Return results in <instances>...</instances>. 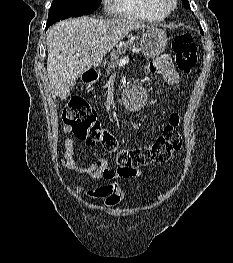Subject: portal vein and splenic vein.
<instances>
[{"label":"portal vein and splenic vein","mask_w":233,"mask_h":263,"mask_svg":"<svg viewBox=\"0 0 233 263\" xmlns=\"http://www.w3.org/2000/svg\"><path fill=\"white\" fill-rule=\"evenodd\" d=\"M96 45V43L94 42V43H92V46H95ZM133 52H135V53H137V52H139V49H137V48H133V50H132ZM123 62V60H121L120 61V63H119V65L121 64Z\"/></svg>","instance_id":"obj_1"}]
</instances>
